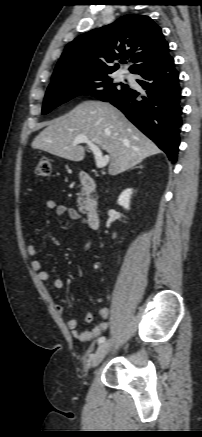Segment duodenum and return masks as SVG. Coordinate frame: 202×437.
<instances>
[{
  "label": "duodenum",
  "instance_id": "obj_1",
  "mask_svg": "<svg viewBox=\"0 0 202 437\" xmlns=\"http://www.w3.org/2000/svg\"><path fill=\"white\" fill-rule=\"evenodd\" d=\"M79 180L87 196L86 222L91 229L97 230L100 227L101 218L98 206L93 198V193L96 190V182L91 175L85 172L79 174Z\"/></svg>",
  "mask_w": 202,
  "mask_h": 437
}]
</instances>
